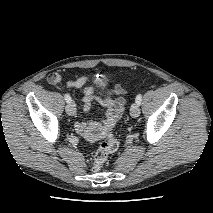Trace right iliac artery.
<instances>
[{"mask_svg":"<svg viewBox=\"0 0 213 213\" xmlns=\"http://www.w3.org/2000/svg\"><path fill=\"white\" fill-rule=\"evenodd\" d=\"M64 98H65V100H66L67 103H70L72 101L69 94H65Z\"/></svg>","mask_w":213,"mask_h":213,"instance_id":"82829eb1","label":"right iliac artery"}]
</instances>
